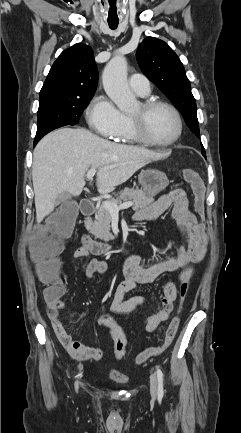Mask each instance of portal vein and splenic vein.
Returning <instances> with one entry per match:
<instances>
[{
  "label": "portal vein and splenic vein",
  "mask_w": 241,
  "mask_h": 433,
  "mask_svg": "<svg viewBox=\"0 0 241 433\" xmlns=\"http://www.w3.org/2000/svg\"><path fill=\"white\" fill-rule=\"evenodd\" d=\"M96 172H97L96 169H93V168L89 169L87 172V175H86L87 179L91 180L94 177ZM102 205L105 207L106 210L109 211V213L111 215H118L120 210L127 209V208L131 207L133 205V203L132 202H125L123 204L117 205V204H114V203L109 202V201H104L102 203Z\"/></svg>",
  "instance_id": "obj_1"
}]
</instances>
